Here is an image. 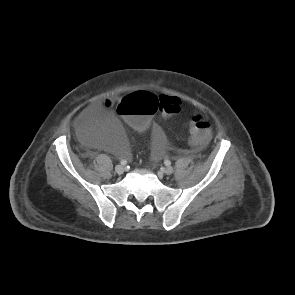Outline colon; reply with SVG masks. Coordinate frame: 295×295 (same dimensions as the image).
<instances>
[{
	"instance_id": "1",
	"label": "colon",
	"mask_w": 295,
	"mask_h": 295,
	"mask_svg": "<svg viewBox=\"0 0 295 295\" xmlns=\"http://www.w3.org/2000/svg\"><path fill=\"white\" fill-rule=\"evenodd\" d=\"M107 106L113 105L107 101ZM123 120L135 129H144L151 122V115L160 112L172 115L180 111L182 102L177 97L157 96L149 92H135L114 103ZM189 137L194 145H203L211 137V127L203 118L194 115L190 119Z\"/></svg>"
}]
</instances>
